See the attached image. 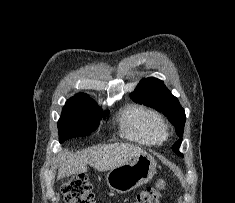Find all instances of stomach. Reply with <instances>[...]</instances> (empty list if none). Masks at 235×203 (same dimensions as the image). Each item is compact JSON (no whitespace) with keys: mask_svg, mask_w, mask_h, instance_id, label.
<instances>
[{"mask_svg":"<svg viewBox=\"0 0 235 203\" xmlns=\"http://www.w3.org/2000/svg\"><path fill=\"white\" fill-rule=\"evenodd\" d=\"M156 172V161L148 154H141L133 161L111 169L106 176L107 185L118 193H127L147 183Z\"/></svg>","mask_w":235,"mask_h":203,"instance_id":"1","label":"stomach"}]
</instances>
